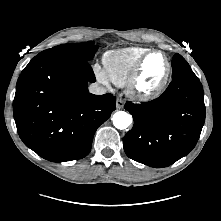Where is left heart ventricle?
Wrapping results in <instances>:
<instances>
[{
  "instance_id": "1",
  "label": "left heart ventricle",
  "mask_w": 221,
  "mask_h": 221,
  "mask_svg": "<svg viewBox=\"0 0 221 221\" xmlns=\"http://www.w3.org/2000/svg\"><path fill=\"white\" fill-rule=\"evenodd\" d=\"M167 69L165 58L162 54L151 55L145 62L141 77V87L151 89L163 78Z\"/></svg>"
}]
</instances>
